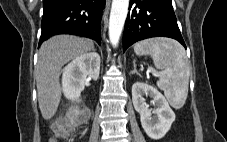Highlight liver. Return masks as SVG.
Here are the masks:
<instances>
[{
    "mask_svg": "<svg viewBox=\"0 0 227 142\" xmlns=\"http://www.w3.org/2000/svg\"><path fill=\"white\" fill-rule=\"evenodd\" d=\"M93 49L92 40L72 35L53 36L41 45L34 76L39 108L45 120L55 115L60 103L62 67Z\"/></svg>",
    "mask_w": 227,
    "mask_h": 142,
    "instance_id": "obj_1",
    "label": "liver"
}]
</instances>
